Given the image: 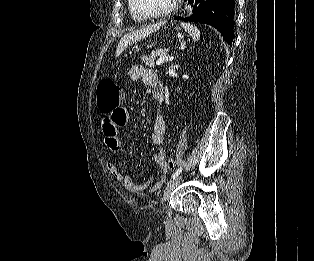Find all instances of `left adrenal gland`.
Segmentation results:
<instances>
[{
	"mask_svg": "<svg viewBox=\"0 0 314 261\" xmlns=\"http://www.w3.org/2000/svg\"><path fill=\"white\" fill-rule=\"evenodd\" d=\"M184 48H185V45H183L182 49H184Z\"/></svg>",
	"mask_w": 314,
	"mask_h": 261,
	"instance_id": "1",
	"label": "left adrenal gland"
}]
</instances>
